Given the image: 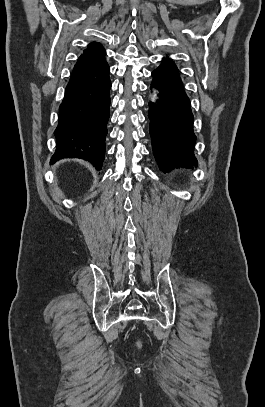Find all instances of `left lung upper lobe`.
Masks as SVG:
<instances>
[{"instance_id":"left-lung-upper-lobe-1","label":"left lung upper lobe","mask_w":265,"mask_h":407,"mask_svg":"<svg viewBox=\"0 0 265 407\" xmlns=\"http://www.w3.org/2000/svg\"><path fill=\"white\" fill-rule=\"evenodd\" d=\"M164 61L167 62L169 65H171V66L177 68L176 65H175V63H174L171 59H169V58H164Z\"/></svg>"}]
</instances>
